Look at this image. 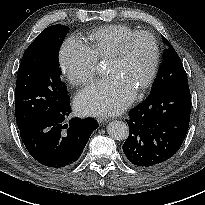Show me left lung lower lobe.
<instances>
[{
  "instance_id": "left-lung-lower-lobe-1",
  "label": "left lung lower lobe",
  "mask_w": 205,
  "mask_h": 205,
  "mask_svg": "<svg viewBox=\"0 0 205 205\" xmlns=\"http://www.w3.org/2000/svg\"><path fill=\"white\" fill-rule=\"evenodd\" d=\"M190 113L188 79L150 93L126 119L130 133L123 151L127 159L141 168H153L170 159L187 134Z\"/></svg>"
}]
</instances>
